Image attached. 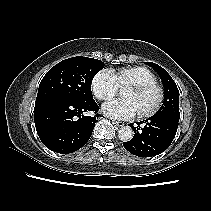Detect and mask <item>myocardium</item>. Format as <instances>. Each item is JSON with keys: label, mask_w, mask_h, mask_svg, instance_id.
<instances>
[{"label": "myocardium", "mask_w": 211, "mask_h": 211, "mask_svg": "<svg viewBox=\"0 0 211 211\" xmlns=\"http://www.w3.org/2000/svg\"><path fill=\"white\" fill-rule=\"evenodd\" d=\"M129 87L139 92H146L151 89H154L157 92V99L153 104V106L147 111L139 112L138 113L139 117L149 118L155 115L159 111L165 98L164 88L161 84H159L157 81H149V82L133 83L129 85Z\"/></svg>", "instance_id": "myocardium-1"}]
</instances>
